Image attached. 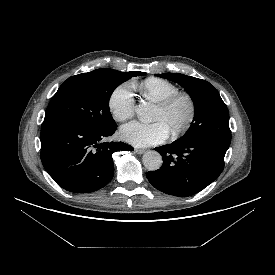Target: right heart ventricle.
<instances>
[{
	"instance_id": "1",
	"label": "right heart ventricle",
	"mask_w": 275,
	"mask_h": 275,
	"mask_svg": "<svg viewBox=\"0 0 275 275\" xmlns=\"http://www.w3.org/2000/svg\"><path fill=\"white\" fill-rule=\"evenodd\" d=\"M178 91L179 89L174 83L158 77H149L141 85L143 97L155 103L163 101Z\"/></svg>"
}]
</instances>
